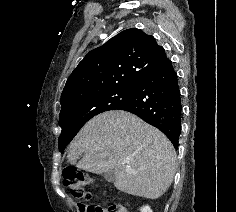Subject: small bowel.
Returning a JSON list of instances; mask_svg holds the SVG:
<instances>
[{
	"label": "small bowel",
	"instance_id": "obj_1",
	"mask_svg": "<svg viewBox=\"0 0 236 212\" xmlns=\"http://www.w3.org/2000/svg\"><path fill=\"white\" fill-rule=\"evenodd\" d=\"M118 212H125L124 209L120 208L118 209Z\"/></svg>",
	"mask_w": 236,
	"mask_h": 212
}]
</instances>
